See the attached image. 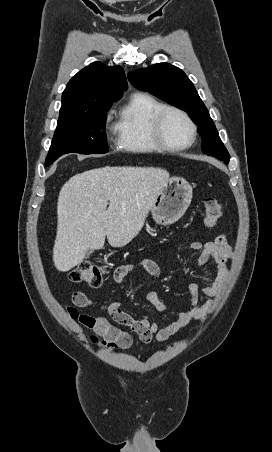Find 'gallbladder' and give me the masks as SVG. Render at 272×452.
<instances>
[{
	"label": "gallbladder",
	"mask_w": 272,
	"mask_h": 452,
	"mask_svg": "<svg viewBox=\"0 0 272 452\" xmlns=\"http://www.w3.org/2000/svg\"><path fill=\"white\" fill-rule=\"evenodd\" d=\"M92 252H93L92 250L87 251L86 257H89Z\"/></svg>",
	"instance_id": "1"
}]
</instances>
